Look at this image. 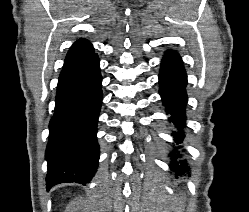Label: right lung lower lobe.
Segmentation results:
<instances>
[{
	"instance_id": "98d812e1",
	"label": "right lung lower lobe",
	"mask_w": 249,
	"mask_h": 212,
	"mask_svg": "<svg viewBox=\"0 0 249 212\" xmlns=\"http://www.w3.org/2000/svg\"><path fill=\"white\" fill-rule=\"evenodd\" d=\"M101 80L96 53L60 73L46 150L48 189L60 183H89L96 172Z\"/></svg>"
}]
</instances>
